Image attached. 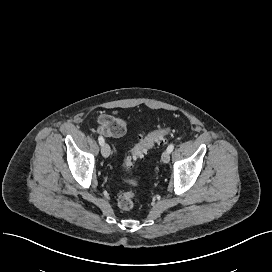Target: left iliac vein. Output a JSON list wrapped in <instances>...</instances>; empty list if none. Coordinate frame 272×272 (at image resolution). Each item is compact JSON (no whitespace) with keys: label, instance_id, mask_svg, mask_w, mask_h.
Segmentation results:
<instances>
[{"label":"left iliac vein","instance_id":"obj_1","mask_svg":"<svg viewBox=\"0 0 272 272\" xmlns=\"http://www.w3.org/2000/svg\"><path fill=\"white\" fill-rule=\"evenodd\" d=\"M161 160L163 163H168L170 161V152L168 150H165L162 153Z\"/></svg>","mask_w":272,"mask_h":272}]
</instances>
